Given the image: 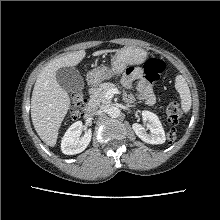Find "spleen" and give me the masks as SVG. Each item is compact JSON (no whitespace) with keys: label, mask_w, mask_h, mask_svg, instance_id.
I'll return each mask as SVG.
<instances>
[{"label":"spleen","mask_w":220,"mask_h":220,"mask_svg":"<svg viewBox=\"0 0 220 220\" xmlns=\"http://www.w3.org/2000/svg\"><path fill=\"white\" fill-rule=\"evenodd\" d=\"M175 81V88L179 92L181 97L182 110L187 113L192 105L191 94L188 84L182 75H177Z\"/></svg>","instance_id":"3e777b00"}]
</instances>
